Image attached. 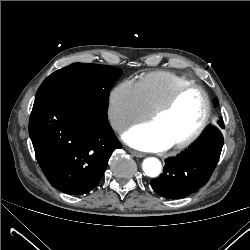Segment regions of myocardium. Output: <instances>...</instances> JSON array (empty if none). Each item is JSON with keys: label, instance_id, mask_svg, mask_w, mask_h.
Here are the masks:
<instances>
[{"label": "myocardium", "instance_id": "myocardium-1", "mask_svg": "<svg viewBox=\"0 0 250 250\" xmlns=\"http://www.w3.org/2000/svg\"><path fill=\"white\" fill-rule=\"evenodd\" d=\"M190 90H198L202 94L204 103H205L204 115L198 127L188 137L172 144V147L175 149H183V148L188 147L194 141H196L206 129L209 123L210 117H211V110H212L211 99L207 91L201 85L195 84V83L181 86L171 95V97L163 105L155 109L150 116V120L154 121L158 117L165 115L166 113L171 111L174 108V106L177 104L179 99L186 92Z\"/></svg>", "mask_w": 250, "mask_h": 250}]
</instances>
